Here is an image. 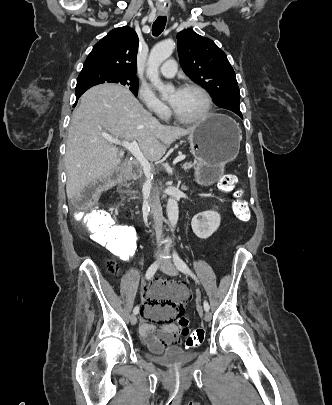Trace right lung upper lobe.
Returning a JSON list of instances; mask_svg holds the SVG:
<instances>
[{
    "mask_svg": "<svg viewBox=\"0 0 332 405\" xmlns=\"http://www.w3.org/2000/svg\"><path fill=\"white\" fill-rule=\"evenodd\" d=\"M138 36L131 27L111 30L95 44L81 72L109 70L137 77Z\"/></svg>",
    "mask_w": 332,
    "mask_h": 405,
    "instance_id": "cb5924a9",
    "label": "right lung upper lobe"
}]
</instances>
